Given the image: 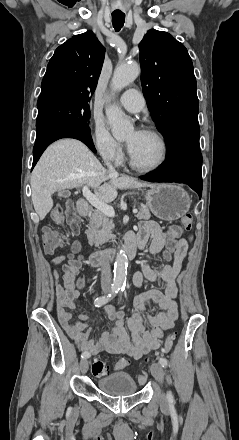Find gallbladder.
<instances>
[{
    "label": "gallbladder",
    "mask_w": 239,
    "mask_h": 440,
    "mask_svg": "<svg viewBox=\"0 0 239 440\" xmlns=\"http://www.w3.org/2000/svg\"><path fill=\"white\" fill-rule=\"evenodd\" d=\"M58 196H60V198H68L69 196V190L65 189V190H59L58 192Z\"/></svg>",
    "instance_id": "bac80fb5"
}]
</instances>
